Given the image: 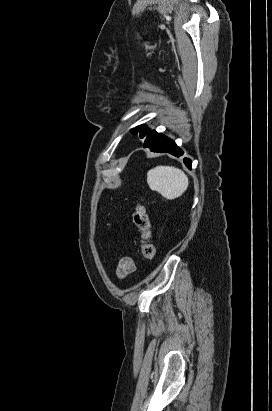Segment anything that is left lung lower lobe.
<instances>
[{"mask_svg":"<svg viewBox=\"0 0 272 411\" xmlns=\"http://www.w3.org/2000/svg\"><path fill=\"white\" fill-rule=\"evenodd\" d=\"M144 147L150 148V150L153 152H168L176 157L183 155V151L176 145L173 140L155 131L147 135L144 142ZM184 163L189 169H191V160L185 158Z\"/></svg>","mask_w":272,"mask_h":411,"instance_id":"left-lung-lower-lobe-1","label":"left lung lower lobe"}]
</instances>
